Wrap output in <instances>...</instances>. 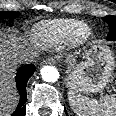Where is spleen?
Returning <instances> with one entry per match:
<instances>
[{"label":"spleen","mask_w":116,"mask_h":116,"mask_svg":"<svg viewBox=\"0 0 116 116\" xmlns=\"http://www.w3.org/2000/svg\"><path fill=\"white\" fill-rule=\"evenodd\" d=\"M68 99L77 116H116V95H107L98 101L82 97L70 90Z\"/></svg>","instance_id":"spleen-1"}]
</instances>
